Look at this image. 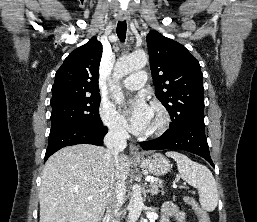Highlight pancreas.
<instances>
[{
  "instance_id": "1",
  "label": "pancreas",
  "mask_w": 257,
  "mask_h": 222,
  "mask_svg": "<svg viewBox=\"0 0 257 222\" xmlns=\"http://www.w3.org/2000/svg\"><path fill=\"white\" fill-rule=\"evenodd\" d=\"M150 187H151L152 194H157L163 190L162 182L159 180H157L156 182H151Z\"/></svg>"
}]
</instances>
